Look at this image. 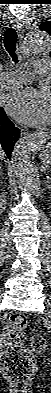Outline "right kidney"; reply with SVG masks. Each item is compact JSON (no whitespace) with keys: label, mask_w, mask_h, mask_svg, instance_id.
<instances>
[{"label":"right kidney","mask_w":51,"mask_h":393,"mask_svg":"<svg viewBox=\"0 0 51 393\" xmlns=\"http://www.w3.org/2000/svg\"><path fill=\"white\" fill-rule=\"evenodd\" d=\"M5 205H6V200H5V198L1 195V198H0V207H1L2 209H4Z\"/></svg>","instance_id":"obj_1"}]
</instances>
